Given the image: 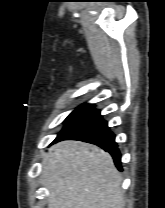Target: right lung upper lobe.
<instances>
[{
  "mask_svg": "<svg viewBox=\"0 0 165 208\" xmlns=\"http://www.w3.org/2000/svg\"><path fill=\"white\" fill-rule=\"evenodd\" d=\"M80 107H86V108H93V105L92 104H83L81 105Z\"/></svg>",
  "mask_w": 165,
  "mask_h": 208,
  "instance_id": "1",
  "label": "right lung upper lobe"
}]
</instances>
